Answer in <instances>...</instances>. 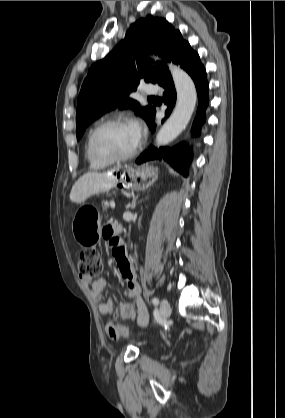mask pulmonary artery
Returning a JSON list of instances; mask_svg holds the SVG:
<instances>
[{"instance_id":"e3ab8cb5","label":"pulmonary artery","mask_w":285,"mask_h":418,"mask_svg":"<svg viewBox=\"0 0 285 418\" xmlns=\"http://www.w3.org/2000/svg\"><path fill=\"white\" fill-rule=\"evenodd\" d=\"M158 90H159L158 87L152 86V85H148V86H145L142 91L145 94H155V93L158 92Z\"/></svg>"}]
</instances>
